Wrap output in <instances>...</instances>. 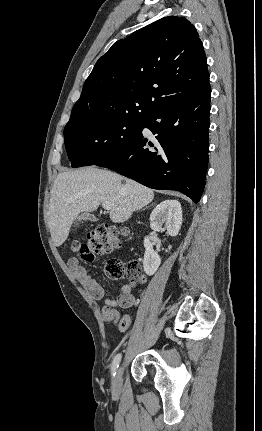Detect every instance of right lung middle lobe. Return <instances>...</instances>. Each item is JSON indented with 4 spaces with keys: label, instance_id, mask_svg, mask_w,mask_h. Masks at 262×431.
Here are the masks:
<instances>
[{
    "label": "right lung middle lobe",
    "instance_id": "1",
    "mask_svg": "<svg viewBox=\"0 0 262 431\" xmlns=\"http://www.w3.org/2000/svg\"><path fill=\"white\" fill-rule=\"evenodd\" d=\"M145 119L122 116L66 126L65 147L72 167L95 165L108 158L141 130Z\"/></svg>",
    "mask_w": 262,
    "mask_h": 431
}]
</instances>
